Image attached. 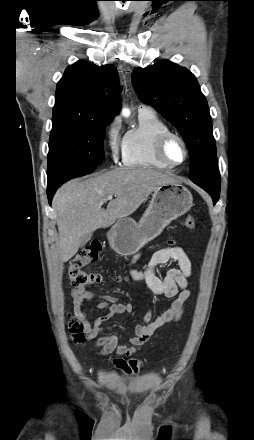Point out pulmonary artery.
<instances>
[{"label": "pulmonary artery", "instance_id": "obj_1", "mask_svg": "<svg viewBox=\"0 0 254 440\" xmlns=\"http://www.w3.org/2000/svg\"><path fill=\"white\" fill-rule=\"evenodd\" d=\"M138 110L139 111H149V110H152V109L150 107H148V106L140 105Z\"/></svg>", "mask_w": 254, "mask_h": 440}]
</instances>
